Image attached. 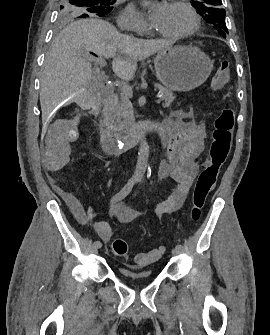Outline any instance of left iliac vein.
<instances>
[{
  "label": "left iliac vein",
  "instance_id": "obj_1",
  "mask_svg": "<svg viewBox=\"0 0 270 335\" xmlns=\"http://www.w3.org/2000/svg\"><path fill=\"white\" fill-rule=\"evenodd\" d=\"M172 254L175 255V256L179 255L180 254V250H178L177 248H173L172 249Z\"/></svg>",
  "mask_w": 270,
  "mask_h": 335
}]
</instances>
